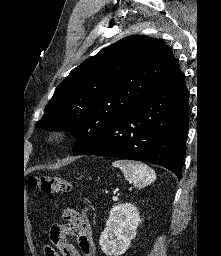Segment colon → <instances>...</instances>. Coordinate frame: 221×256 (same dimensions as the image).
Wrapping results in <instances>:
<instances>
[{
	"label": "colon",
	"instance_id": "1",
	"mask_svg": "<svg viewBox=\"0 0 221 256\" xmlns=\"http://www.w3.org/2000/svg\"><path fill=\"white\" fill-rule=\"evenodd\" d=\"M29 186L47 194L64 193L70 190L67 180L51 175L33 176L29 179Z\"/></svg>",
	"mask_w": 221,
	"mask_h": 256
}]
</instances>
